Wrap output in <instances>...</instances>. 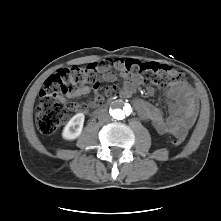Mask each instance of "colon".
<instances>
[{
	"instance_id": "5ec220e1",
	"label": "colon",
	"mask_w": 221,
	"mask_h": 221,
	"mask_svg": "<svg viewBox=\"0 0 221 221\" xmlns=\"http://www.w3.org/2000/svg\"><path fill=\"white\" fill-rule=\"evenodd\" d=\"M125 68L130 75L144 83L155 84L161 88L184 78L181 71L156 63L127 60ZM98 81L99 70L96 64L60 69L50 75L43 85L36 106L35 120L38 130L43 134L54 133L68 117L65 97L79 87L95 85ZM116 92L117 88L114 86L107 89V94ZM182 141V137L176 136L172 143L180 145Z\"/></svg>"
}]
</instances>
